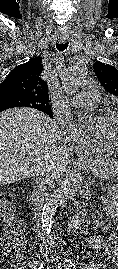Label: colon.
<instances>
[{
    "label": "colon",
    "instance_id": "colon-1",
    "mask_svg": "<svg viewBox=\"0 0 118 269\" xmlns=\"http://www.w3.org/2000/svg\"><path fill=\"white\" fill-rule=\"evenodd\" d=\"M0 221L5 225L4 236L0 243L10 246L18 240L21 224L14 214L8 195L2 191H0Z\"/></svg>",
    "mask_w": 118,
    "mask_h": 269
}]
</instances>
